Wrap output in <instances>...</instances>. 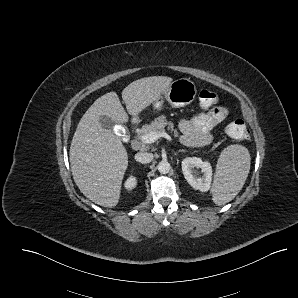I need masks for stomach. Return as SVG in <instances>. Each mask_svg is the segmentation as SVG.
<instances>
[{
    "instance_id": "obj_1",
    "label": "stomach",
    "mask_w": 298,
    "mask_h": 298,
    "mask_svg": "<svg viewBox=\"0 0 298 298\" xmlns=\"http://www.w3.org/2000/svg\"><path fill=\"white\" fill-rule=\"evenodd\" d=\"M197 95V87L188 78L173 80L167 90L157 101L153 103V109L161 111L166 101L173 108H182L190 105Z\"/></svg>"
}]
</instances>
